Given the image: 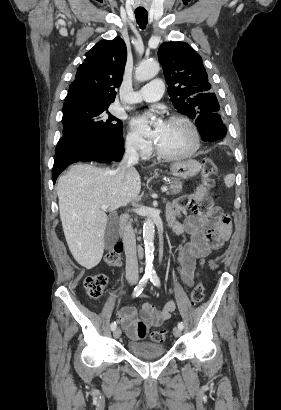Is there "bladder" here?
<instances>
[{
	"instance_id": "1",
	"label": "bladder",
	"mask_w": 281,
	"mask_h": 410,
	"mask_svg": "<svg viewBox=\"0 0 281 410\" xmlns=\"http://www.w3.org/2000/svg\"><path fill=\"white\" fill-rule=\"evenodd\" d=\"M128 351L136 357L151 358L164 355L166 347L149 341H130L128 343Z\"/></svg>"
}]
</instances>
